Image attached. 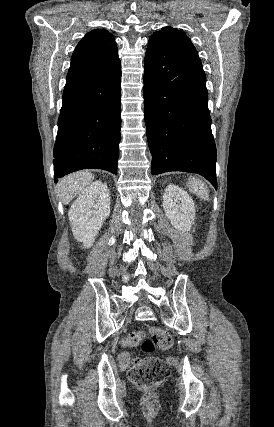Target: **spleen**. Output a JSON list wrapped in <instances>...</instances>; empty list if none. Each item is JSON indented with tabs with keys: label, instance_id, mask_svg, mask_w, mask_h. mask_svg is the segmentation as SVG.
<instances>
[{
	"label": "spleen",
	"instance_id": "spleen-1",
	"mask_svg": "<svg viewBox=\"0 0 274 427\" xmlns=\"http://www.w3.org/2000/svg\"><path fill=\"white\" fill-rule=\"evenodd\" d=\"M189 192L195 194V196H199L202 200H208L209 192L206 184L202 182V180H196V178H190L188 184Z\"/></svg>",
	"mask_w": 274,
	"mask_h": 427
}]
</instances>
